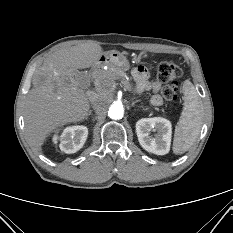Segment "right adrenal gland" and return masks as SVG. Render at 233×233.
I'll return each mask as SVG.
<instances>
[{"label":"right adrenal gland","mask_w":233,"mask_h":233,"mask_svg":"<svg viewBox=\"0 0 233 233\" xmlns=\"http://www.w3.org/2000/svg\"><path fill=\"white\" fill-rule=\"evenodd\" d=\"M91 114H92V110H89V112L87 113L86 119H88Z\"/></svg>","instance_id":"right-adrenal-gland-1"}]
</instances>
